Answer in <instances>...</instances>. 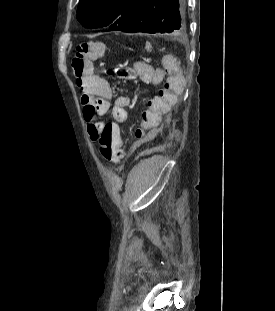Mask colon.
<instances>
[{"label": "colon", "instance_id": "1", "mask_svg": "<svg viewBox=\"0 0 275 311\" xmlns=\"http://www.w3.org/2000/svg\"><path fill=\"white\" fill-rule=\"evenodd\" d=\"M103 52L102 45L97 42L87 41L80 43L76 47V53L72 59V68L75 76L79 77L88 73L90 71L91 61L102 56ZM115 74L118 76L127 75L121 68L116 69ZM116 127L115 124L113 126L106 125L93 138L98 141L100 154L108 163H117L122 158L121 142L115 130Z\"/></svg>", "mask_w": 275, "mask_h": 311}]
</instances>
